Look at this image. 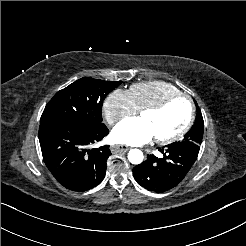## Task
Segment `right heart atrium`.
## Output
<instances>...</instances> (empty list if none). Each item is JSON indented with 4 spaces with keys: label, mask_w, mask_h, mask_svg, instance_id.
<instances>
[{
    "label": "right heart atrium",
    "mask_w": 246,
    "mask_h": 246,
    "mask_svg": "<svg viewBox=\"0 0 246 246\" xmlns=\"http://www.w3.org/2000/svg\"><path fill=\"white\" fill-rule=\"evenodd\" d=\"M103 112L110 125L134 115L136 110L129 91L123 89L113 90L105 99Z\"/></svg>",
    "instance_id": "obj_1"
}]
</instances>
